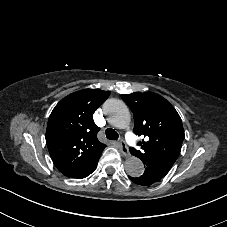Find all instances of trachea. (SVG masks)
<instances>
[{
    "label": "trachea",
    "instance_id": "1",
    "mask_svg": "<svg viewBox=\"0 0 227 227\" xmlns=\"http://www.w3.org/2000/svg\"><path fill=\"white\" fill-rule=\"evenodd\" d=\"M105 134L107 139H110V140H117L119 137L118 133L112 128H107L105 131Z\"/></svg>",
    "mask_w": 227,
    "mask_h": 227
}]
</instances>
